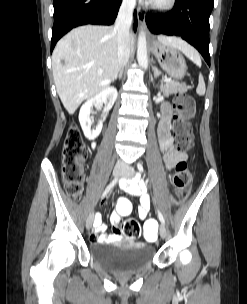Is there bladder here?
Listing matches in <instances>:
<instances>
[{
    "label": "bladder",
    "mask_w": 247,
    "mask_h": 304,
    "mask_svg": "<svg viewBox=\"0 0 247 304\" xmlns=\"http://www.w3.org/2000/svg\"><path fill=\"white\" fill-rule=\"evenodd\" d=\"M91 258L112 271H137L155 256V248L131 242H98L90 246Z\"/></svg>",
    "instance_id": "bladder-1"
}]
</instances>
